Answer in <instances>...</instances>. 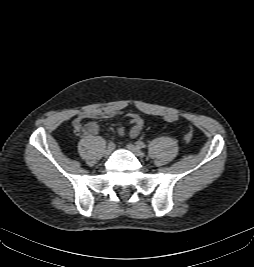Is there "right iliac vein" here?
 Returning a JSON list of instances; mask_svg holds the SVG:
<instances>
[{
	"instance_id": "63e3f726",
	"label": "right iliac vein",
	"mask_w": 254,
	"mask_h": 267,
	"mask_svg": "<svg viewBox=\"0 0 254 267\" xmlns=\"http://www.w3.org/2000/svg\"><path fill=\"white\" fill-rule=\"evenodd\" d=\"M113 150H114L113 146H107V148L104 150V155L109 156Z\"/></svg>"
}]
</instances>
